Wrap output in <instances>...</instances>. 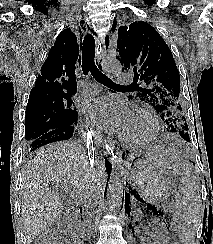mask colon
<instances>
[{
    "label": "colon",
    "mask_w": 213,
    "mask_h": 244,
    "mask_svg": "<svg viewBox=\"0 0 213 244\" xmlns=\"http://www.w3.org/2000/svg\"><path fill=\"white\" fill-rule=\"evenodd\" d=\"M37 244H54V243L51 241V239L45 238V239L39 241Z\"/></svg>",
    "instance_id": "colon-1"
}]
</instances>
